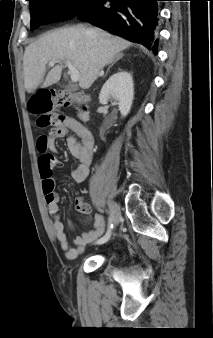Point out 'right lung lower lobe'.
<instances>
[{"label":"right lung lower lobe","mask_w":213,"mask_h":338,"mask_svg":"<svg viewBox=\"0 0 213 338\" xmlns=\"http://www.w3.org/2000/svg\"><path fill=\"white\" fill-rule=\"evenodd\" d=\"M159 1L163 0H96L76 16L157 54Z\"/></svg>","instance_id":"98d812e1"}]
</instances>
